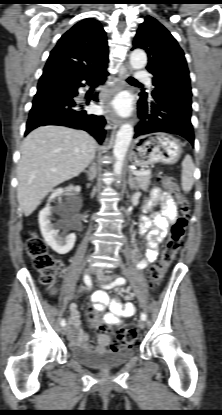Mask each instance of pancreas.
<instances>
[{
	"label": "pancreas",
	"instance_id": "obj_1",
	"mask_svg": "<svg viewBox=\"0 0 222 415\" xmlns=\"http://www.w3.org/2000/svg\"><path fill=\"white\" fill-rule=\"evenodd\" d=\"M152 178L151 173L143 174V175H136V185L138 188L146 190L150 185V179Z\"/></svg>",
	"mask_w": 222,
	"mask_h": 415
}]
</instances>
